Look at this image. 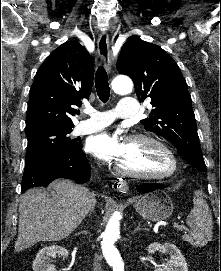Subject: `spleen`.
<instances>
[{
    "label": "spleen",
    "instance_id": "3e777b00",
    "mask_svg": "<svg viewBox=\"0 0 221 271\" xmlns=\"http://www.w3.org/2000/svg\"><path fill=\"white\" fill-rule=\"evenodd\" d=\"M194 205L187 215L190 233L183 235L184 241H189L196 247H203L211 241L213 235L212 213L208 203L202 197H194Z\"/></svg>",
    "mask_w": 221,
    "mask_h": 271
}]
</instances>
